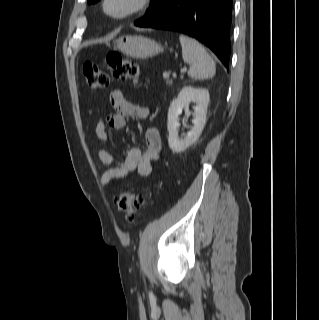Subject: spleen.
I'll list each match as a JSON object with an SVG mask.
<instances>
[{
    "label": "spleen",
    "mask_w": 319,
    "mask_h": 320,
    "mask_svg": "<svg viewBox=\"0 0 319 320\" xmlns=\"http://www.w3.org/2000/svg\"><path fill=\"white\" fill-rule=\"evenodd\" d=\"M183 60L190 65L188 75L193 79H207L216 72L215 63L204 47L195 39L180 35Z\"/></svg>",
    "instance_id": "obj_1"
}]
</instances>
